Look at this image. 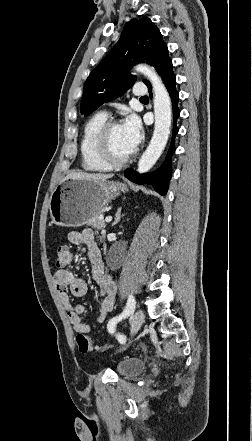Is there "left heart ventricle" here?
<instances>
[{
  "label": "left heart ventricle",
  "mask_w": 252,
  "mask_h": 441,
  "mask_svg": "<svg viewBox=\"0 0 252 441\" xmlns=\"http://www.w3.org/2000/svg\"><path fill=\"white\" fill-rule=\"evenodd\" d=\"M108 148L114 159H122L130 155V151L122 125L114 127L108 136Z\"/></svg>",
  "instance_id": "b2bd125f"
}]
</instances>
